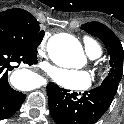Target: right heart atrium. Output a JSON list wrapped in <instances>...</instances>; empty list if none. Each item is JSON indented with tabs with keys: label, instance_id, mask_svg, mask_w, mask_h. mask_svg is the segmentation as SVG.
<instances>
[{
	"label": "right heart atrium",
	"instance_id": "d8ad5b80",
	"mask_svg": "<svg viewBox=\"0 0 124 124\" xmlns=\"http://www.w3.org/2000/svg\"><path fill=\"white\" fill-rule=\"evenodd\" d=\"M47 39H48V37L45 36L43 38V40L41 41V44H40V50H41V52H43L46 49Z\"/></svg>",
	"mask_w": 124,
	"mask_h": 124
}]
</instances>
